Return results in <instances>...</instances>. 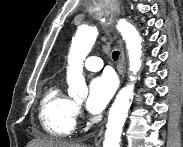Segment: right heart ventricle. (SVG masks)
<instances>
[{
  "label": "right heart ventricle",
  "instance_id": "e07e8e85",
  "mask_svg": "<svg viewBox=\"0 0 183 147\" xmlns=\"http://www.w3.org/2000/svg\"><path fill=\"white\" fill-rule=\"evenodd\" d=\"M76 104L59 85L45 92L40 104L43 129L53 137H67L75 129Z\"/></svg>",
  "mask_w": 183,
  "mask_h": 147
}]
</instances>
